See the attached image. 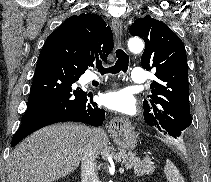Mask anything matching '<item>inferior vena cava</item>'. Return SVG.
Instances as JSON below:
<instances>
[{
	"instance_id": "obj_1",
	"label": "inferior vena cava",
	"mask_w": 211,
	"mask_h": 182,
	"mask_svg": "<svg viewBox=\"0 0 211 182\" xmlns=\"http://www.w3.org/2000/svg\"><path fill=\"white\" fill-rule=\"evenodd\" d=\"M93 134L94 131L91 132L82 157L81 182H99L96 165V160L99 154L94 147Z\"/></svg>"
}]
</instances>
